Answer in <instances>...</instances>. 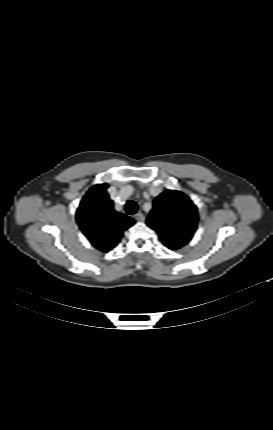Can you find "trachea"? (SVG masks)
<instances>
[{
	"label": "trachea",
	"instance_id": "1",
	"mask_svg": "<svg viewBox=\"0 0 273 430\" xmlns=\"http://www.w3.org/2000/svg\"><path fill=\"white\" fill-rule=\"evenodd\" d=\"M137 208L138 207L136 202H134L133 200L127 201L125 209L128 214H135L137 212Z\"/></svg>",
	"mask_w": 273,
	"mask_h": 430
}]
</instances>
